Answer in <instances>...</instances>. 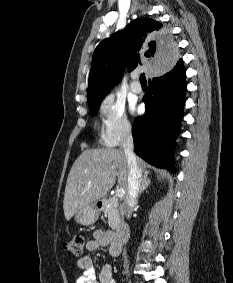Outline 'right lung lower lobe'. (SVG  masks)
<instances>
[{"label":"right lung lower lobe","instance_id":"98d812e1","mask_svg":"<svg viewBox=\"0 0 233 283\" xmlns=\"http://www.w3.org/2000/svg\"><path fill=\"white\" fill-rule=\"evenodd\" d=\"M185 68L180 59L150 82L144 95L145 114L132 128L135 152L148 163L175 172L172 149L179 134L185 104Z\"/></svg>","mask_w":233,"mask_h":283}]
</instances>
